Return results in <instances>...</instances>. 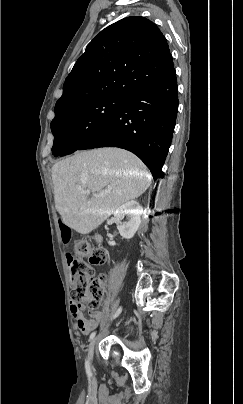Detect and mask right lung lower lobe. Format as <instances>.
<instances>
[{
  "instance_id": "1",
  "label": "right lung lower lobe",
  "mask_w": 243,
  "mask_h": 404,
  "mask_svg": "<svg viewBox=\"0 0 243 404\" xmlns=\"http://www.w3.org/2000/svg\"><path fill=\"white\" fill-rule=\"evenodd\" d=\"M173 61V60H172ZM178 112L176 72L125 98L110 121L78 150L119 147L136 154L161 178Z\"/></svg>"
}]
</instances>
